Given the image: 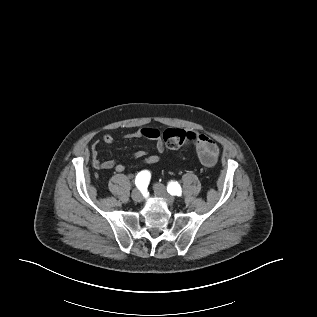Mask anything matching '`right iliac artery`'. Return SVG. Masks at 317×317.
<instances>
[{"mask_svg": "<svg viewBox=\"0 0 317 317\" xmlns=\"http://www.w3.org/2000/svg\"><path fill=\"white\" fill-rule=\"evenodd\" d=\"M151 174L147 170H143L138 173V175L135 178V184L138 189H144L148 186V183L150 181Z\"/></svg>", "mask_w": 317, "mask_h": 317, "instance_id": "1", "label": "right iliac artery"}]
</instances>
